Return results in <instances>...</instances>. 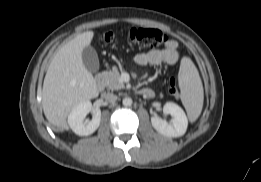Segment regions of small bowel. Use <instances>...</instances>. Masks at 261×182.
Masks as SVG:
<instances>
[{
	"label": "small bowel",
	"mask_w": 261,
	"mask_h": 182,
	"mask_svg": "<svg viewBox=\"0 0 261 182\" xmlns=\"http://www.w3.org/2000/svg\"><path fill=\"white\" fill-rule=\"evenodd\" d=\"M179 58L177 42L169 40L163 48L138 53L134 60L140 66H157L162 64L176 65L179 62Z\"/></svg>",
	"instance_id": "1"
}]
</instances>
